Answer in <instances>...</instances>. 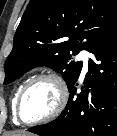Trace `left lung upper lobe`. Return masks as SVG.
Returning a JSON list of instances; mask_svg holds the SVG:
<instances>
[{
	"label": "left lung upper lobe",
	"mask_w": 117,
	"mask_h": 136,
	"mask_svg": "<svg viewBox=\"0 0 117 136\" xmlns=\"http://www.w3.org/2000/svg\"><path fill=\"white\" fill-rule=\"evenodd\" d=\"M115 22L117 0H30L5 62L4 84L47 66L71 85L82 69L72 55L90 51Z\"/></svg>",
	"instance_id": "left-lung-upper-lobe-1"
}]
</instances>
